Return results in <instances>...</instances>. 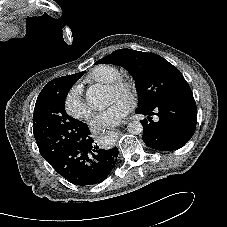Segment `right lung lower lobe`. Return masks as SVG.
Listing matches in <instances>:
<instances>
[{
    "mask_svg": "<svg viewBox=\"0 0 227 227\" xmlns=\"http://www.w3.org/2000/svg\"><path fill=\"white\" fill-rule=\"evenodd\" d=\"M74 141L63 148L59 155L48 162L61 176L76 185L102 182L111 172L118 156V148L101 149L95 146L90 131L80 121Z\"/></svg>",
    "mask_w": 227,
    "mask_h": 227,
    "instance_id": "right-lung-lower-lobe-1",
    "label": "right lung lower lobe"
}]
</instances>
